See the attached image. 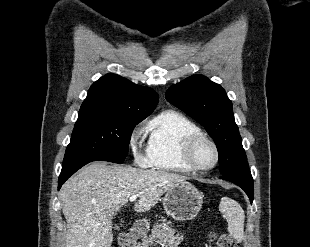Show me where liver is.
I'll use <instances>...</instances> for the list:
<instances>
[{"label":"liver","mask_w":310,"mask_h":247,"mask_svg":"<svg viewBox=\"0 0 310 247\" xmlns=\"http://www.w3.org/2000/svg\"><path fill=\"white\" fill-rule=\"evenodd\" d=\"M185 176L132 166L94 162L70 178L60 190L67 221L66 247H111L114 214L139 194L136 212L149 211Z\"/></svg>","instance_id":"obj_1"}]
</instances>
